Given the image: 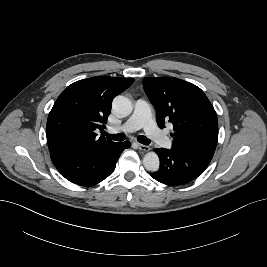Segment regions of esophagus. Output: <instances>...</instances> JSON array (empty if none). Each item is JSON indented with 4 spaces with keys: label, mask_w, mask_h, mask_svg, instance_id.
<instances>
[{
    "label": "esophagus",
    "mask_w": 267,
    "mask_h": 267,
    "mask_svg": "<svg viewBox=\"0 0 267 267\" xmlns=\"http://www.w3.org/2000/svg\"><path fill=\"white\" fill-rule=\"evenodd\" d=\"M137 147H138L139 150L144 151V152H147V151L150 150L149 146L143 145V144H140V143L137 144Z\"/></svg>",
    "instance_id": "1"
}]
</instances>
